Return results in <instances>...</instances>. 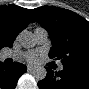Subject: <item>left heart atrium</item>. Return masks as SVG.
<instances>
[{
    "mask_svg": "<svg viewBox=\"0 0 89 89\" xmlns=\"http://www.w3.org/2000/svg\"><path fill=\"white\" fill-rule=\"evenodd\" d=\"M27 61L31 62V63H34L37 61V55L35 54H29L27 55L26 57Z\"/></svg>",
    "mask_w": 89,
    "mask_h": 89,
    "instance_id": "1",
    "label": "left heart atrium"
}]
</instances>
